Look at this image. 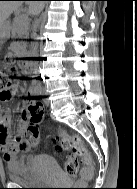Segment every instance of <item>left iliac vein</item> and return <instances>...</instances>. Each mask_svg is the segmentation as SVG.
Returning <instances> with one entry per match:
<instances>
[{
  "mask_svg": "<svg viewBox=\"0 0 137 189\" xmlns=\"http://www.w3.org/2000/svg\"><path fill=\"white\" fill-rule=\"evenodd\" d=\"M41 91H42V94H43V95H45V94H46L45 89H42ZM45 104H46V105H49V101H48V100H46V101H45Z\"/></svg>",
  "mask_w": 137,
  "mask_h": 189,
  "instance_id": "obj_1",
  "label": "left iliac vein"
}]
</instances>
